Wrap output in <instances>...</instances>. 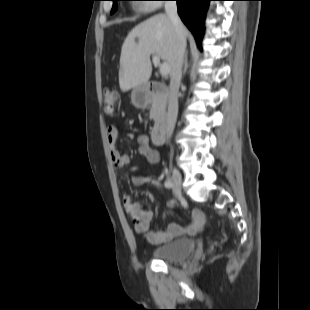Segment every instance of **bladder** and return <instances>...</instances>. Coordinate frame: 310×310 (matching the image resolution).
Wrapping results in <instances>:
<instances>
[{
  "mask_svg": "<svg viewBox=\"0 0 310 310\" xmlns=\"http://www.w3.org/2000/svg\"><path fill=\"white\" fill-rule=\"evenodd\" d=\"M195 249L192 239H175L169 243L156 247L151 255L155 260L164 262H178L187 259Z\"/></svg>",
  "mask_w": 310,
  "mask_h": 310,
  "instance_id": "31cf9c89",
  "label": "bladder"
}]
</instances>
